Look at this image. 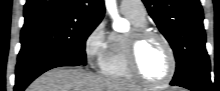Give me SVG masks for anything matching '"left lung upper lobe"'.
I'll list each match as a JSON object with an SVG mask.
<instances>
[{
    "mask_svg": "<svg viewBox=\"0 0 220 91\" xmlns=\"http://www.w3.org/2000/svg\"><path fill=\"white\" fill-rule=\"evenodd\" d=\"M149 15L170 43L176 72L171 83L209 74L203 10L199 0H143Z\"/></svg>",
    "mask_w": 220,
    "mask_h": 91,
    "instance_id": "1",
    "label": "left lung upper lobe"
}]
</instances>
